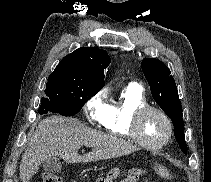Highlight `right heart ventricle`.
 I'll list each match as a JSON object with an SVG mask.
<instances>
[{"instance_id": "e07e8e85", "label": "right heart ventricle", "mask_w": 211, "mask_h": 182, "mask_svg": "<svg viewBox=\"0 0 211 182\" xmlns=\"http://www.w3.org/2000/svg\"><path fill=\"white\" fill-rule=\"evenodd\" d=\"M146 104L142 90L129 85L122 91L119 100L108 105L101 125L116 137L134 140L130 132L131 116L137 107Z\"/></svg>"}]
</instances>
